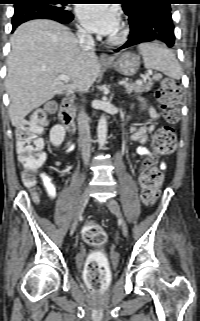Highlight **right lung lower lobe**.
I'll use <instances>...</instances> for the list:
<instances>
[{"instance_id":"98d812e1","label":"right lung lower lobe","mask_w":200,"mask_h":321,"mask_svg":"<svg viewBox=\"0 0 200 321\" xmlns=\"http://www.w3.org/2000/svg\"><path fill=\"white\" fill-rule=\"evenodd\" d=\"M32 19H51L61 24H69L74 16L70 11L59 12L50 7L28 4L15 7L12 18V32L22 23Z\"/></svg>"}]
</instances>
